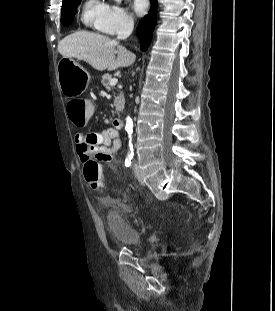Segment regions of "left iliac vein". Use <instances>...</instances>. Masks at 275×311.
<instances>
[{
    "mask_svg": "<svg viewBox=\"0 0 275 311\" xmlns=\"http://www.w3.org/2000/svg\"><path fill=\"white\" fill-rule=\"evenodd\" d=\"M133 169H134L135 177L137 178V180H138L141 184H144L143 176H142V174H141V171H140V168H139L137 162L134 163Z\"/></svg>",
    "mask_w": 275,
    "mask_h": 311,
    "instance_id": "obj_1",
    "label": "left iliac vein"
}]
</instances>
